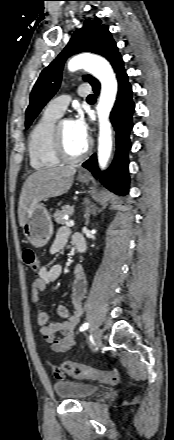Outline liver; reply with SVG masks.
<instances>
[{
	"mask_svg": "<svg viewBox=\"0 0 174 440\" xmlns=\"http://www.w3.org/2000/svg\"><path fill=\"white\" fill-rule=\"evenodd\" d=\"M75 173L76 169L73 167L39 169L32 173L26 179L19 198L20 226L23 227L39 202L67 193Z\"/></svg>",
	"mask_w": 174,
	"mask_h": 440,
	"instance_id": "1",
	"label": "liver"
}]
</instances>
